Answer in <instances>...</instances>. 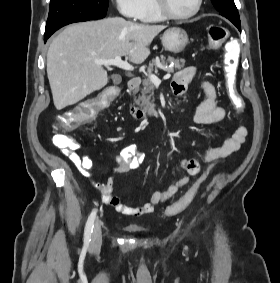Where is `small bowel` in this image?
Segmentation results:
<instances>
[{
	"instance_id": "1",
	"label": "small bowel",
	"mask_w": 280,
	"mask_h": 283,
	"mask_svg": "<svg viewBox=\"0 0 280 283\" xmlns=\"http://www.w3.org/2000/svg\"><path fill=\"white\" fill-rule=\"evenodd\" d=\"M198 75L193 67H187L176 73L172 82V92L175 95L183 94L189 83ZM200 87L205 94V98L198 106L194 120L200 125H215L222 121L226 115L225 110L217 104L216 91L209 82L201 81ZM247 128L239 125L233 134L228 137L224 143L218 147L209 148L202 154L201 160L206 163H212L225 158L240 149L247 136ZM75 146L67 153L69 160L75 165L78 171L86 178L93 179L92 171L93 160L88 155H80ZM144 156L141 154L135 144L124 145L116 156L117 166L115 173H125L135 170L143 161ZM180 166L185 174L170 184L163 191L152 193L149 202L141 206H129L124 204L119 197L113 194V179L109 177L104 183H93V186L101 193L102 201L105 205L111 206L118 213L129 217H141L154 211L155 206L171 199L179 189L183 188L190 182V178L203 174L205 168L200 160L195 158H186L180 161Z\"/></svg>"
}]
</instances>
